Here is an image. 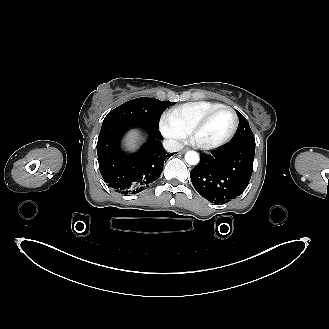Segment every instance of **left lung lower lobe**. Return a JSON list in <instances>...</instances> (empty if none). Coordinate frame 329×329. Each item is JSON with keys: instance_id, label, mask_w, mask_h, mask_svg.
Instances as JSON below:
<instances>
[{"instance_id": "1", "label": "left lung lower lobe", "mask_w": 329, "mask_h": 329, "mask_svg": "<svg viewBox=\"0 0 329 329\" xmlns=\"http://www.w3.org/2000/svg\"><path fill=\"white\" fill-rule=\"evenodd\" d=\"M255 142L240 141L209 154L201 153L190 177L194 188L209 201L228 202L246 189L253 170Z\"/></svg>"}]
</instances>
